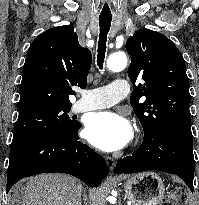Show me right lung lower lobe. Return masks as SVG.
Wrapping results in <instances>:
<instances>
[{"mask_svg":"<svg viewBox=\"0 0 199 205\" xmlns=\"http://www.w3.org/2000/svg\"><path fill=\"white\" fill-rule=\"evenodd\" d=\"M80 128L79 123L72 130L47 134L12 147L6 192L21 178L49 172L67 173L88 186H99L109 168L100 154L79 140Z\"/></svg>","mask_w":199,"mask_h":205,"instance_id":"1","label":"right lung lower lobe"}]
</instances>
